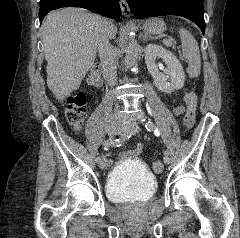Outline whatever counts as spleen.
Wrapping results in <instances>:
<instances>
[{
    "mask_svg": "<svg viewBox=\"0 0 240 238\" xmlns=\"http://www.w3.org/2000/svg\"><path fill=\"white\" fill-rule=\"evenodd\" d=\"M179 35L182 43L183 57L188 62L187 73L191 77H198L201 69L198 43L193 35L186 29H179Z\"/></svg>",
    "mask_w": 240,
    "mask_h": 238,
    "instance_id": "obj_1",
    "label": "spleen"
}]
</instances>
